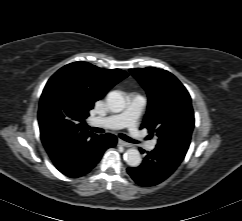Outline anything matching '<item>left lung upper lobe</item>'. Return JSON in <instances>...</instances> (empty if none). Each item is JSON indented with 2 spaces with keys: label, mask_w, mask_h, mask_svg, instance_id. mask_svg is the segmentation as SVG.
<instances>
[{
  "label": "left lung upper lobe",
  "mask_w": 242,
  "mask_h": 221,
  "mask_svg": "<svg viewBox=\"0 0 242 221\" xmlns=\"http://www.w3.org/2000/svg\"><path fill=\"white\" fill-rule=\"evenodd\" d=\"M148 94V108L141 128L158 137L156 147L184 158L194 128L191 98L170 72L154 67L130 69Z\"/></svg>",
  "instance_id": "1"
}]
</instances>
